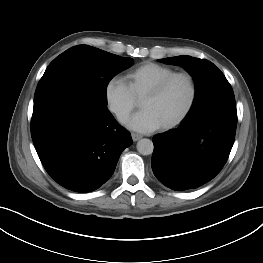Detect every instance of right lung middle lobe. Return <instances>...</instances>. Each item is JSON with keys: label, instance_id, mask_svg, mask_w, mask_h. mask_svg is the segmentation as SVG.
<instances>
[{"label": "right lung middle lobe", "instance_id": "right-lung-middle-lobe-1", "mask_svg": "<svg viewBox=\"0 0 263 263\" xmlns=\"http://www.w3.org/2000/svg\"><path fill=\"white\" fill-rule=\"evenodd\" d=\"M133 64L87 45L72 47L47 67L35 91L34 105L62 96H76L98 109H107V85Z\"/></svg>", "mask_w": 263, "mask_h": 263}]
</instances>
